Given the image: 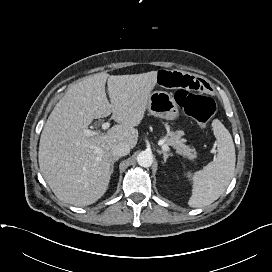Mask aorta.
I'll return each mask as SVG.
<instances>
[{
	"label": "aorta",
	"instance_id": "aorta-1",
	"mask_svg": "<svg viewBox=\"0 0 272 272\" xmlns=\"http://www.w3.org/2000/svg\"><path fill=\"white\" fill-rule=\"evenodd\" d=\"M137 163L144 168H148L153 163V156L148 151H142L137 156Z\"/></svg>",
	"mask_w": 272,
	"mask_h": 272
}]
</instances>
